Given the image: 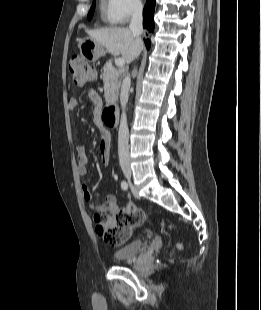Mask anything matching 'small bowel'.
<instances>
[{
    "instance_id": "1",
    "label": "small bowel",
    "mask_w": 261,
    "mask_h": 310,
    "mask_svg": "<svg viewBox=\"0 0 261 310\" xmlns=\"http://www.w3.org/2000/svg\"><path fill=\"white\" fill-rule=\"evenodd\" d=\"M87 96L94 106V115L95 118L98 120L103 105L102 99L97 93V91L93 88L87 90ZM76 105L77 101L75 99L69 100L68 107L70 110H74ZM100 153L102 163L105 166H107L110 160V137L108 134H105L101 142ZM77 157H78V173L81 177H85L88 175L89 158L86 149L83 145L79 146ZM82 189L84 200L90 204V207L95 212L94 220L96 215L114 214L121 211V208L117 204L116 197L113 194H107L104 198V202L100 205H97L92 202V195L90 193L89 186L87 184H83Z\"/></svg>"
}]
</instances>
